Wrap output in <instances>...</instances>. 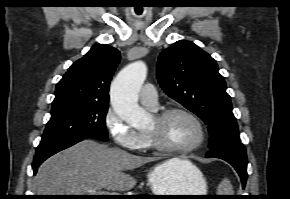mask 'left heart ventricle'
<instances>
[{"mask_svg":"<svg viewBox=\"0 0 290 199\" xmlns=\"http://www.w3.org/2000/svg\"><path fill=\"white\" fill-rule=\"evenodd\" d=\"M145 131L153 133L161 143L175 148L191 146L199 138L196 124L183 114H173L162 123L152 118Z\"/></svg>","mask_w":290,"mask_h":199,"instance_id":"1","label":"left heart ventricle"}]
</instances>
